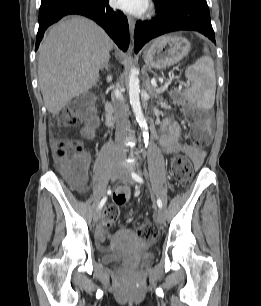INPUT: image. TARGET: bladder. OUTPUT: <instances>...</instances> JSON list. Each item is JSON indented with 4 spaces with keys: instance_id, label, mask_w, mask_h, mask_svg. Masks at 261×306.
<instances>
[{
    "instance_id": "31cf9c89",
    "label": "bladder",
    "mask_w": 261,
    "mask_h": 306,
    "mask_svg": "<svg viewBox=\"0 0 261 306\" xmlns=\"http://www.w3.org/2000/svg\"><path fill=\"white\" fill-rule=\"evenodd\" d=\"M125 238L138 240L128 229L119 231L116 235V242L103 251V263L112 264L121 260H127L136 264H144L152 259L151 244H145L142 249L136 250L124 242Z\"/></svg>"
}]
</instances>
